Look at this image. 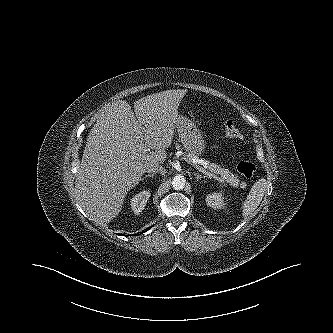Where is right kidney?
<instances>
[{"instance_id":"obj_1","label":"right kidney","mask_w":333,"mask_h":333,"mask_svg":"<svg viewBox=\"0 0 333 333\" xmlns=\"http://www.w3.org/2000/svg\"><path fill=\"white\" fill-rule=\"evenodd\" d=\"M149 191H142L131 199V208L134 211V214H140L144 207L146 206L147 201L150 197Z\"/></svg>"}]
</instances>
